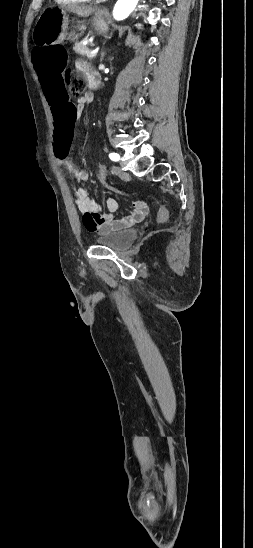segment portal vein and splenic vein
<instances>
[{"label": "portal vein and splenic vein", "mask_w": 253, "mask_h": 548, "mask_svg": "<svg viewBox=\"0 0 253 548\" xmlns=\"http://www.w3.org/2000/svg\"><path fill=\"white\" fill-rule=\"evenodd\" d=\"M97 52H98L97 49L92 50V51H90V53H89V55H88L87 57H88L89 59L94 58V57L96 56Z\"/></svg>", "instance_id": "1"}]
</instances>
